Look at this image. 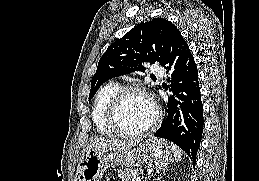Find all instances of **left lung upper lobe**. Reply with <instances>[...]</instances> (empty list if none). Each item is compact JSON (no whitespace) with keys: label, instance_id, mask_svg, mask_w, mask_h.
Returning a JSON list of instances; mask_svg holds the SVG:
<instances>
[{"label":"left lung upper lobe","instance_id":"5c2ea615","mask_svg":"<svg viewBox=\"0 0 259 181\" xmlns=\"http://www.w3.org/2000/svg\"><path fill=\"white\" fill-rule=\"evenodd\" d=\"M179 37L182 36L177 27L164 18H155L136 25L121 39L112 43L100 58L92 77L89 100L107 80L134 71L144 72V62H159L164 66Z\"/></svg>","mask_w":259,"mask_h":181}]
</instances>
